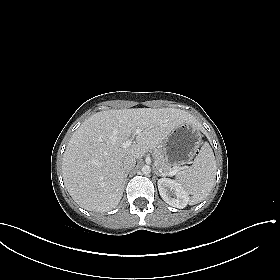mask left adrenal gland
I'll use <instances>...</instances> for the list:
<instances>
[{"label":"left adrenal gland","instance_id":"a2214340","mask_svg":"<svg viewBox=\"0 0 280 280\" xmlns=\"http://www.w3.org/2000/svg\"><path fill=\"white\" fill-rule=\"evenodd\" d=\"M154 173H155L157 176H164V174H161L156 168H154Z\"/></svg>","mask_w":280,"mask_h":280}]
</instances>
